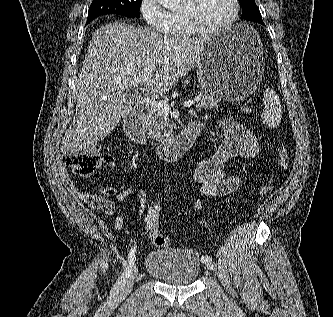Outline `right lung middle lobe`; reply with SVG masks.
Returning <instances> with one entry per match:
<instances>
[{
    "mask_svg": "<svg viewBox=\"0 0 333 317\" xmlns=\"http://www.w3.org/2000/svg\"><path fill=\"white\" fill-rule=\"evenodd\" d=\"M142 0H93L89 7L87 23L104 14H121L139 17Z\"/></svg>",
    "mask_w": 333,
    "mask_h": 317,
    "instance_id": "right-lung-middle-lobe-1",
    "label": "right lung middle lobe"
}]
</instances>
